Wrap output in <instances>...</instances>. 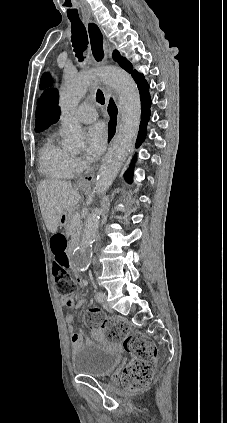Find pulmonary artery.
<instances>
[{
  "label": "pulmonary artery",
  "mask_w": 227,
  "mask_h": 423,
  "mask_svg": "<svg viewBox=\"0 0 227 423\" xmlns=\"http://www.w3.org/2000/svg\"><path fill=\"white\" fill-rule=\"evenodd\" d=\"M97 117L98 115L95 108L89 103L81 104L75 112V119L79 123L83 124L94 123L96 122Z\"/></svg>",
  "instance_id": "1"
}]
</instances>
